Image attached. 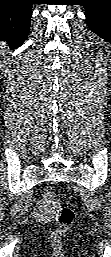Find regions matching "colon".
Segmentation results:
<instances>
[{
    "label": "colon",
    "mask_w": 111,
    "mask_h": 257,
    "mask_svg": "<svg viewBox=\"0 0 111 257\" xmlns=\"http://www.w3.org/2000/svg\"><path fill=\"white\" fill-rule=\"evenodd\" d=\"M42 198L44 204L56 215L58 227L53 232L52 237L55 240H60L73 226L75 221V213L69 207L57 205L55 201V194L50 190H45L42 194Z\"/></svg>",
    "instance_id": "colon-1"
}]
</instances>
